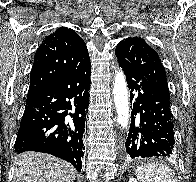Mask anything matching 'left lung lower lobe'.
<instances>
[{
    "label": "left lung lower lobe",
    "mask_w": 196,
    "mask_h": 182,
    "mask_svg": "<svg viewBox=\"0 0 196 182\" xmlns=\"http://www.w3.org/2000/svg\"><path fill=\"white\" fill-rule=\"evenodd\" d=\"M132 105L131 124L125 143L131 158L171 157L175 153L170 95L159 85L118 59Z\"/></svg>",
    "instance_id": "left-lung-lower-lobe-1"
}]
</instances>
